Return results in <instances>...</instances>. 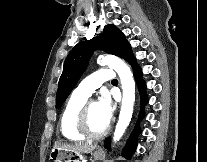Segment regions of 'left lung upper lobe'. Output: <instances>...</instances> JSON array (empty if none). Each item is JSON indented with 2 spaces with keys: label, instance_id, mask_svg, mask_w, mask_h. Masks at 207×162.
<instances>
[{
  "label": "left lung upper lobe",
  "instance_id": "5c2ea615",
  "mask_svg": "<svg viewBox=\"0 0 207 162\" xmlns=\"http://www.w3.org/2000/svg\"><path fill=\"white\" fill-rule=\"evenodd\" d=\"M97 48L124 58L129 63L134 59L131 46L124 34L111 24L105 26L103 33L99 36L79 42L65 60L56 94V108H59L66 100L85 70L93 51Z\"/></svg>",
  "mask_w": 207,
  "mask_h": 162
}]
</instances>
